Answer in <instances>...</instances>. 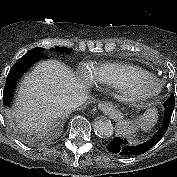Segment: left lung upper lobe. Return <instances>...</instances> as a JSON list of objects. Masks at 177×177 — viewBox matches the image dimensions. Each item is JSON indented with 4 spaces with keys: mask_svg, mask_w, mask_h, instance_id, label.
<instances>
[{
    "mask_svg": "<svg viewBox=\"0 0 177 177\" xmlns=\"http://www.w3.org/2000/svg\"><path fill=\"white\" fill-rule=\"evenodd\" d=\"M166 101L167 102H171L172 101V103L175 104V97H174V95L172 94Z\"/></svg>",
    "mask_w": 177,
    "mask_h": 177,
    "instance_id": "left-lung-upper-lobe-1",
    "label": "left lung upper lobe"
}]
</instances>
